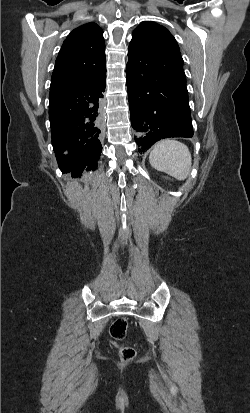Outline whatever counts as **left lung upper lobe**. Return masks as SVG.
I'll use <instances>...</instances> for the list:
<instances>
[{
  "mask_svg": "<svg viewBox=\"0 0 250 413\" xmlns=\"http://www.w3.org/2000/svg\"><path fill=\"white\" fill-rule=\"evenodd\" d=\"M149 39L156 45L160 55L171 59L170 64L174 66L178 73L184 75L183 59L181 57L179 46L173 35L163 26L154 22H143L132 34L130 45Z\"/></svg>",
  "mask_w": 250,
  "mask_h": 413,
  "instance_id": "left-lung-upper-lobe-1",
  "label": "left lung upper lobe"
}]
</instances>
